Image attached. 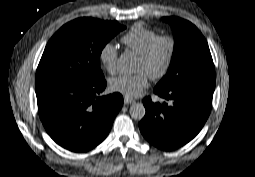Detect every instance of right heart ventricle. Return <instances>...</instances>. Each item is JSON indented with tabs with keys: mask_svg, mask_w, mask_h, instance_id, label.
Wrapping results in <instances>:
<instances>
[{
	"mask_svg": "<svg viewBox=\"0 0 255 177\" xmlns=\"http://www.w3.org/2000/svg\"><path fill=\"white\" fill-rule=\"evenodd\" d=\"M159 36V32L144 24L136 23L122 36L123 44L140 55L147 45Z\"/></svg>",
	"mask_w": 255,
	"mask_h": 177,
	"instance_id": "1",
	"label": "right heart ventricle"
}]
</instances>
